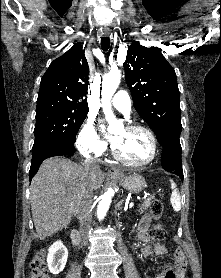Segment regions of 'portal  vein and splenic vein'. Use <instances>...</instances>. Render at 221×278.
Listing matches in <instances>:
<instances>
[{"mask_svg":"<svg viewBox=\"0 0 221 278\" xmlns=\"http://www.w3.org/2000/svg\"><path fill=\"white\" fill-rule=\"evenodd\" d=\"M134 206V203L129 204V208H132Z\"/></svg>","mask_w":221,"mask_h":278,"instance_id":"1","label":"portal vein and splenic vein"}]
</instances>
